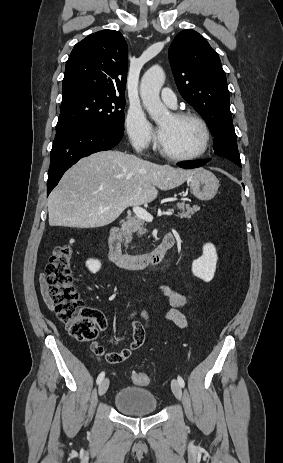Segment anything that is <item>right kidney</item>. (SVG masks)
<instances>
[{
    "instance_id": "obj_1",
    "label": "right kidney",
    "mask_w": 283,
    "mask_h": 463,
    "mask_svg": "<svg viewBox=\"0 0 283 463\" xmlns=\"http://www.w3.org/2000/svg\"><path fill=\"white\" fill-rule=\"evenodd\" d=\"M86 266L92 273H97L101 268V262L96 259H89L86 261Z\"/></svg>"
}]
</instances>
